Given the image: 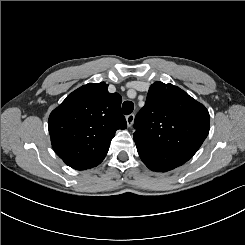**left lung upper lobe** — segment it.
I'll list each match as a JSON object with an SVG mask.
<instances>
[{
	"mask_svg": "<svg viewBox=\"0 0 245 245\" xmlns=\"http://www.w3.org/2000/svg\"><path fill=\"white\" fill-rule=\"evenodd\" d=\"M209 124L204 105L177 86L155 82L135 117L134 141L139 148L170 152L188 161L207 137Z\"/></svg>",
	"mask_w": 245,
	"mask_h": 245,
	"instance_id": "left-lung-upper-lobe-1",
	"label": "left lung upper lobe"
}]
</instances>
